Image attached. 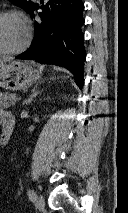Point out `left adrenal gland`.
I'll return each instance as SVG.
<instances>
[{"instance_id": "left-adrenal-gland-1", "label": "left adrenal gland", "mask_w": 128, "mask_h": 213, "mask_svg": "<svg viewBox=\"0 0 128 213\" xmlns=\"http://www.w3.org/2000/svg\"><path fill=\"white\" fill-rule=\"evenodd\" d=\"M37 85L32 89L31 95L23 102V105H27L32 102L33 98L40 94V91H37Z\"/></svg>"}]
</instances>
